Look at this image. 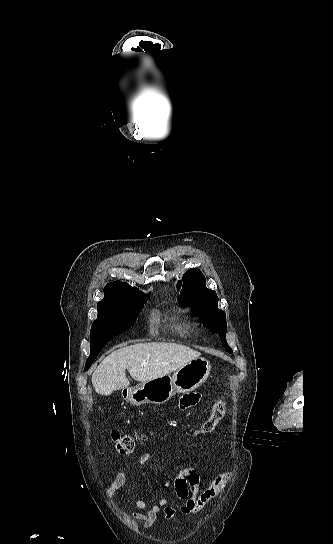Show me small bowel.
Segmentation results:
<instances>
[{
	"instance_id": "1",
	"label": "small bowel",
	"mask_w": 333,
	"mask_h": 544,
	"mask_svg": "<svg viewBox=\"0 0 333 544\" xmlns=\"http://www.w3.org/2000/svg\"><path fill=\"white\" fill-rule=\"evenodd\" d=\"M200 400L199 393H189L184 395L179 403L180 410L184 411L195 406ZM149 454H145L140 463L144 464L150 459ZM128 466H124L116 474L114 480L107 488L108 497L112 498L119 490H121L128 480ZM232 477L230 472H224L216 475L209 486L205 489L201 486L200 477L193 468H184L179 471L173 481V487L177 498L181 502L178 509L168 506V499L161 497L156 504L132 498L137 511H134L130 516L134 520L142 521L144 527H151L156 521L158 513L163 509L166 518L173 517L177 512L183 514L197 513L201 511L208 503L213 501L225 488Z\"/></svg>"
}]
</instances>
